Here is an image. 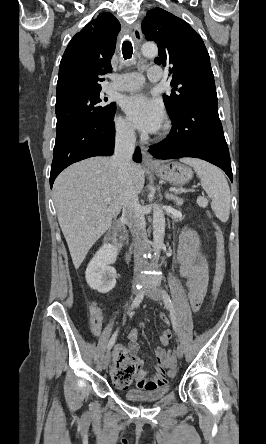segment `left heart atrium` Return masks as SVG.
Instances as JSON below:
<instances>
[{
	"label": "left heart atrium",
	"instance_id": "1",
	"mask_svg": "<svg viewBox=\"0 0 266 444\" xmlns=\"http://www.w3.org/2000/svg\"><path fill=\"white\" fill-rule=\"evenodd\" d=\"M123 109L139 130L154 133L160 129L164 120L163 107L159 101L142 93L128 96Z\"/></svg>",
	"mask_w": 266,
	"mask_h": 444
}]
</instances>
